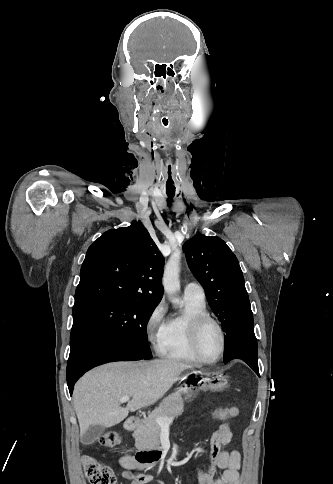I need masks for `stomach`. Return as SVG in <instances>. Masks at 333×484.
<instances>
[{
    "instance_id": "stomach-1",
    "label": "stomach",
    "mask_w": 333,
    "mask_h": 484,
    "mask_svg": "<svg viewBox=\"0 0 333 484\" xmlns=\"http://www.w3.org/2000/svg\"><path fill=\"white\" fill-rule=\"evenodd\" d=\"M193 375V379L185 381L177 391L185 399H191L199 390L218 392L228 387V376L223 372L193 371Z\"/></svg>"
}]
</instances>
